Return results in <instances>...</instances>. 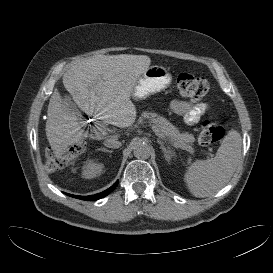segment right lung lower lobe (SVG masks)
Instances as JSON below:
<instances>
[{
	"mask_svg": "<svg viewBox=\"0 0 273 273\" xmlns=\"http://www.w3.org/2000/svg\"><path fill=\"white\" fill-rule=\"evenodd\" d=\"M118 182H116L115 184H113L110 188H108L107 190L101 192V193H98V194H95V195H90V196H76V195H71V194H67L71 197H75V198H78V199H81V200H87V201H95V200H98L100 198H103L105 196H107L110 192H112L115 187L117 186Z\"/></svg>",
	"mask_w": 273,
	"mask_h": 273,
	"instance_id": "right-lung-lower-lobe-1",
	"label": "right lung lower lobe"
}]
</instances>
